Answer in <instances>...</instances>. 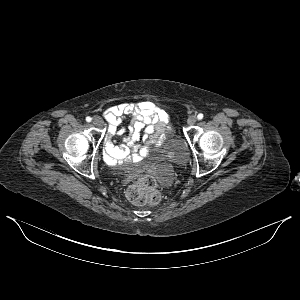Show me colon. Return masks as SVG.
<instances>
[{
    "label": "colon",
    "instance_id": "obj_1",
    "mask_svg": "<svg viewBox=\"0 0 300 300\" xmlns=\"http://www.w3.org/2000/svg\"><path fill=\"white\" fill-rule=\"evenodd\" d=\"M128 200L136 205L156 206L160 202L158 184L154 177L147 176L132 184L126 192Z\"/></svg>",
    "mask_w": 300,
    "mask_h": 300
}]
</instances>
